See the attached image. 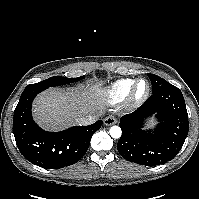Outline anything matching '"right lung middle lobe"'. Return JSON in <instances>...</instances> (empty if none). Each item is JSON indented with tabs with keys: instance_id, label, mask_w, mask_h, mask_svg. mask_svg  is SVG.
<instances>
[{
	"instance_id": "1",
	"label": "right lung middle lobe",
	"mask_w": 199,
	"mask_h": 199,
	"mask_svg": "<svg viewBox=\"0 0 199 199\" xmlns=\"http://www.w3.org/2000/svg\"><path fill=\"white\" fill-rule=\"evenodd\" d=\"M81 79H83V77L71 79V78H66V77H61V76H53V77H50V78H48L44 81H41L39 83L27 85L25 89L43 91L52 86H60L63 84H70L73 82H77Z\"/></svg>"
}]
</instances>
